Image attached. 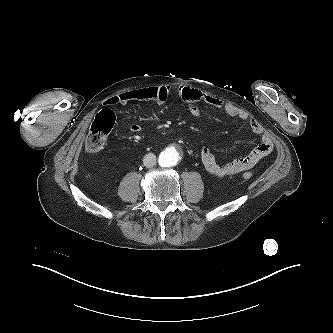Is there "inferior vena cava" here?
Wrapping results in <instances>:
<instances>
[{"label":"inferior vena cava","instance_id":"obj_1","mask_svg":"<svg viewBox=\"0 0 333 333\" xmlns=\"http://www.w3.org/2000/svg\"><path fill=\"white\" fill-rule=\"evenodd\" d=\"M143 164L147 168H152L156 164V156L153 153H148L143 158Z\"/></svg>","mask_w":333,"mask_h":333}]
</instances>
